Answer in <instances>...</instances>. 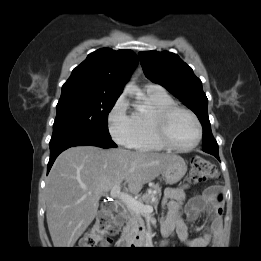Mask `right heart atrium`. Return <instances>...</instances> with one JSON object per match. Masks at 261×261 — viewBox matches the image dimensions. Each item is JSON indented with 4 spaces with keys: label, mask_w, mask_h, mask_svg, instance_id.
<instances>
[{
    "label": "right heart atrium",
    "mask_w": 261,
    "mask_h": 261,
    "mask_svg": "<svg viewBox=\"0 0 261 261\" xmlns=\"http://www.w3.org/2000/svg\"><path fill=\"white\" fill-rule=\"evenodd\" d=\"M108 127L112 138L121 145L130 146L136 135L132 114L128 111L125 95H120L108 115Z\"/></svg>",
    "instance_id": "d8ad5b80"
}]
</instances>
